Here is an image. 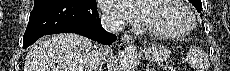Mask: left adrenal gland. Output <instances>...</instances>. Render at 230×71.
<instances>
[{
	"instance_id": "left-adrenal-gland-1",
	"label": "left adrenal gland",
	"mask_w": 230,
	"mask_h": 71,
	"mask_svg": "<svg viewBox=\"0 0 230 71\" xmlns=\"http://www.w3.org/2000/svg\"><path fill=\"white\" fill-rule=\"evenodd\" d=\"M150 70H152V69H149V65L146 67V71H150Z\"/></svg>"
}]
</instances>
